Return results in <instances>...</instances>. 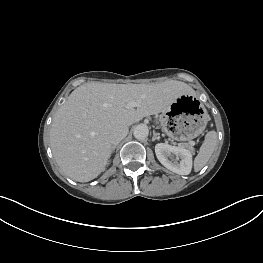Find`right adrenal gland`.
I'll return each mask as SVG.
<instances>
[{"label":"right adrenal gland","instance_id":"right-adrenal-gland-1","mask_svg":"<svg viewBox=\"0 0 263 263\" xmlns=\"http://www.w3.org/2000/svg\"><path fill=\"white\" fill-rule=\"evenodd\" d=\"M115 148H116V145L112 147V152H114Z\"/></svg>","mask_w":263,"mask_h":263}]
</instances>
